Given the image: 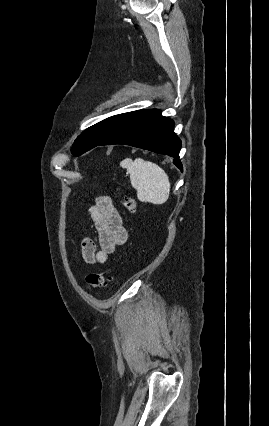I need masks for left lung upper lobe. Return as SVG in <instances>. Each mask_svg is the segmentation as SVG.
<instances>
[{"mask_svg":"<svg viewBox=\"0 0 269 426\" xmlns=\"http://www.w3.org/2000/svg\"><path fill=\"white\" fill-rule=\"evenodd\" d=\"M119 115L109 117L82 132L74 141L71 149L73 155L79 156L96 147L108 134Z\"/></svg>","mask_w":269,"mask_h":426,"instance_id":"5c2ea615","label":"left lung upper lobe"}]
</instances>
